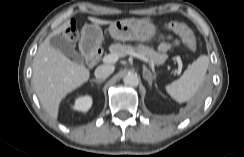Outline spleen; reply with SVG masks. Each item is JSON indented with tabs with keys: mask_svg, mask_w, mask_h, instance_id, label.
<instances>
[{
	"mask_svg": "<svg viewBox=\"0 0 244 157\" xmlns=\"http://www.w3.org/2000/svg\"><path fill=\"white\" fill-rule=\"evenodd\" d=\"M208 65V56H199L178 80L165 86L166 92L179 103L190 100L202 85Z\"/></svg>",
	"mask_w": 244,
	"mask_h": 157,
	"instance_id": "3e777b00",
	"label": "spleen"
}]
</instances>
